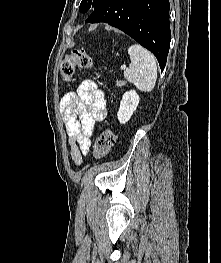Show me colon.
Listing matches in <instances>:
<instances>
[{
  "instance_id": "1",
  "label": "colon",
  "mask_w": 221,
  "mask_h": 263,
  "mask_svg": "<svg viewBox=\"0 0 221 263\" xmlns=\"http://www.w3.org/2000/svg\"><path fill=\"white\" fill-rule=\"evenodd\" d=\"M92 65L93 60L90 54L84 49L75 48L63 58L61 73L65 79H70L73 76L76 67L87 69L92 67ZM114 142L115 134L111 129H105L102 131L94 145V156L96 158L106 156Z\"/></svg>"
}]
</instances>
